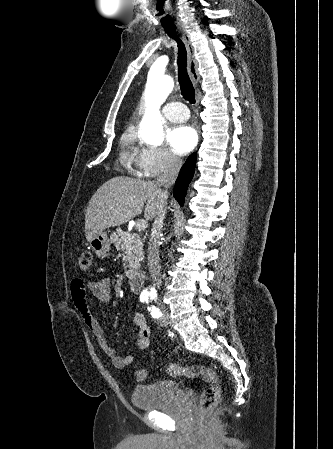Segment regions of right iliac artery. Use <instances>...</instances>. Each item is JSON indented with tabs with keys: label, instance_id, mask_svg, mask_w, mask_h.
Listing matches in <instances>:
<instances>
[{
	"label": "right iliac artery",
	"instance_id": "right-iliac-artery-1",
	"mask_svg": "<svg viewBox=\"0 0 333 449\" xmlns=\"http://www.w3.org/2000/svg\"><path fill=\"white\" fill-rule=\"evenodd\" d=\"M147 299H148L147 297H141V298H140V301H141V302H145V301H147Z\"/></svg>",
	"mask_w": 333,
	"mask_h": 449
}]
</instances>
